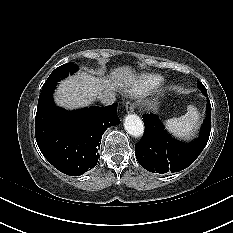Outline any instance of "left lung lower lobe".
Masks as SVG:
<instances>
[{
  "label": "left lung lower lobe",
  "instance_id": "obj_1",
  "mask_svg": "<svg viewBox=\"0 0 233 233\" xmlns=\"http://www.w3.org/2000/svg\"><path fill=\"white\" fill-rule=\"evenodd\" d=\"M207 96V90H202ZM145 132L135 145L139 164L153 173L178 172L189 167L206 146L211 131V104L208 99L206 118L199 137L184 143L171 137L154 114L143 115Z\"/></svg>",
  "mask_w": 233,
  "mask_h": 233
}]
</instances>
